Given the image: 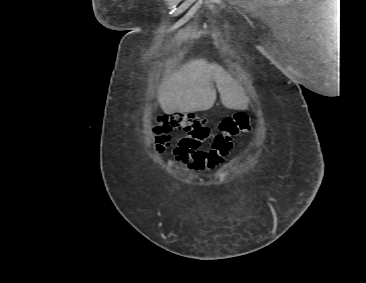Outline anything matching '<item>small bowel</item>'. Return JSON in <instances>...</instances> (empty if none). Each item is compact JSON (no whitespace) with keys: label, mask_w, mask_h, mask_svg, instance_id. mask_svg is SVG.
<instances>
[{"label":"small bowel","mask_w":366,"mask_h":283,"mask_svg":"<svg viewBox=\"0 0 366 283\" xmlns=\"http://www.w3.org/2000/svg\"><path fill=\"white\" fill-rule=\"evenodd\" d=\"M170 144H171L170 137L167 135L157 136L154 139V149L158 153H163L166 149L170 147ZM232 147H233L232 145L223 146L221 148L219 147L220 151H217L214 158V164L211 166V168L220 164L225 158V156L230 152Z\"/></svg>","instance_id":"small-bowel-1"}]
</instances>
